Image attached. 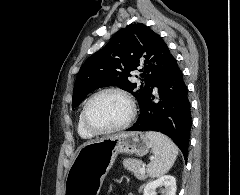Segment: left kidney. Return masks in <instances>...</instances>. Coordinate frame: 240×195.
<instances>
[{
	"mask_svg": "<svg viewBox=\"0 0 240 195\" xmlns=\"http://www.w3.org/2000/svg\"><path fill=\"white\" fill-rule=\"evenodd\" d=\"M157 187H160L162 195H176V179L173 175H162V177H158L154 181H148L144 187L143 195H157Z\"/></svg>",
	"mask_w": 240,
	"mask_h": 195,
	"instance_id": "obj_1",
	"label": "left kidney"
}]
</instances>
